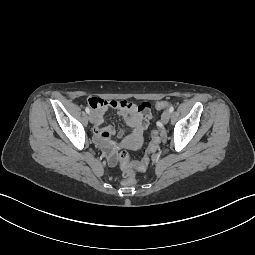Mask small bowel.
Segmentation results:
<instances>
[{"mask_svg":"<svg viewBox=\"0 0 255 255\" xmlns=\"http://www.w3.org/2000/svg\"><path fill=\"white\" fill-rule=\"evenodd\" d=\"M88 104L93 108L95 115V139L105 151L109 165L114 166L117 163L116 148L118 146L134 148L140 144L142 134L150 119V104H136L125 100H106L99 97L89 98ZM109 108L116 109L125 118L127 125L132 130V134L126 138H122L123 132H119V141L116 143L110 140L111 135L115 132L114 129L111 126L101 127L104 115Z\"/></svg>","mask_w":255,"mask_h":255,"instance_id":"c3829d8e","label":"small bowel"}]
</instances>
